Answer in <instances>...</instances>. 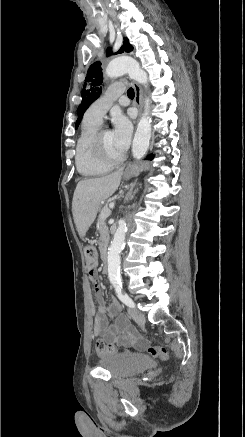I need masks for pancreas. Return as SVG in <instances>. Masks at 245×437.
<instances>
[{
	"instance_id": "cf45deb5",
	"label": "pancreas",
	"mask_w": 245,
	"mask_h": 437,
	"mask_svg": "<svg viewBox=\"0 0 245 437\" xmlns=\"http://www.w3.org/2000/svg\"><path fill=\"white\" fill-rule=\"evenodd\" d=\"M105 208L106 207H104L101 210L100 215L98 216V220H97V229H98V232L100 233V238H99V242H98L100 249L105 248L108 245L109 239H110L109 230H108V227L106 226V223H105L106 218L103 217V210Z\"/></svg>"
}]
</instances>
